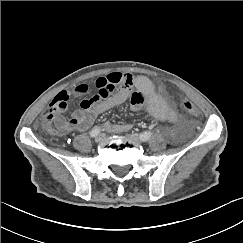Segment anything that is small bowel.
Wrapping results in <instances>:
<instances>
[{
	"label": "small bowel",
	"mask_w": 243,
	"mask_h": 243,
	"mask_svg": "<svg viewBox=\"0 0 243 243\" xmlns=\"http://www.w3.org/2000/svg\"><path fill=\"white\" fill-rule=\"evenodd\" d=\"M133 80L132 75L122 73H110L98 77L93 83L97 92L92 97L83 99L80 102V108L71 115L69 120L60 115L66 109L67 104L64 103L62 109H59L55 119L59 132L66 134L72 130L85 131L100 115L122 105L129 98L131 108L135 111L138 110L143 101L136 92L131 94ZM91 88L90 83L83 82L76 85L71 94L75 97L84 96L90 92ZM169 120H175V113L172 110H170ZM104 128L109 131L122 132L130 130L131 125L112 126L105 123Z\"/></svg>",
	"instance_id": "obj_1"
}]
</instances>
